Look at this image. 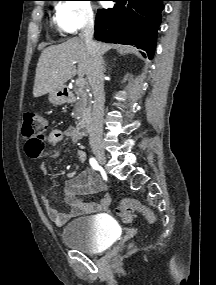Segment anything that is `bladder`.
I'll list each match as a JSON object with an SVG mask.
<instances>
[{
	"instance_id": "obj_1",
	"label": "bladder",
	"mask_w": 216,
	"mask_h": 285,
	"mask_svg": "<svg viewBox=\"0 0 216 285\" xmlns=\"http://www.w3.org/2000/svg\"><path fill=\"white\" fill-rule=\"evenodd\" d=\"M116 238V226L102 216L76 218L61 232L62 242L67 247L88 254L107 250Z\"/></svg>"
}]
</instances>
